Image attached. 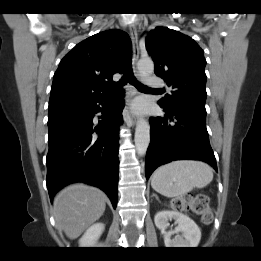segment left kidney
Segmentation results:
<instances>
[{"label": "left kidney", "mask_w": 261, "mask_h": 261, "mask_svg": "<svg viewBox=\"0 0 261 261\" xmlns=\"http://www.w3.org/2000/svg\"><path fill=\"white\" fill-rule=\"evenodd\" d=\"M174 219L178 226L166 231L168 220ZM156 227L162 231L167 248H194L201 239V231L197 224L187 215L178 211H161L154 217ZM176 234L174 238L172 236Z\"/></svg>", "instance_id": "left-kidney-1"}]
</instances>
